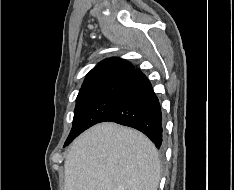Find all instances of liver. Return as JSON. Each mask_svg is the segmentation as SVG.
Instances as JSON below:
<instances>
[{
    "label": "liver",
    "mask_w": 234,
    "mask_h": 190,
    "mask_svg": "<svg viewBox=\"0 0 234 190\" xmlns=\"http://www.w3.org/2000/svg\"><path fill=\"white\" fill-rule=\"evenodd\" d=\"M64 190H157L161 166L154 144L116 123L97 124L73 142Z\"/></svg>",
    "instance_id": "1"
}]
</instances>
